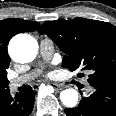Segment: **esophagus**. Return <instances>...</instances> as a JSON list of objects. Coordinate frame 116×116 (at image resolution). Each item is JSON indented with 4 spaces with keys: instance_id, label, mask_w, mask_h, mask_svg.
<instances>
[{
    "instance_id": "1",
    "label": "esophagus",
    "mask_w": 116,
    "mask_h": 116,
    "mask_svg": "<svg viewBox=\"0 0 116 116\" xmlns=\"http://www.w3.org/2000/svg\"><path fill=\"white\" fill-rule=\"evenodd\" d=\"M49 85H50L54 90H56V91L62 90V86H60L59 84L50 83Z\"/></svg>"
}]
</instances>
